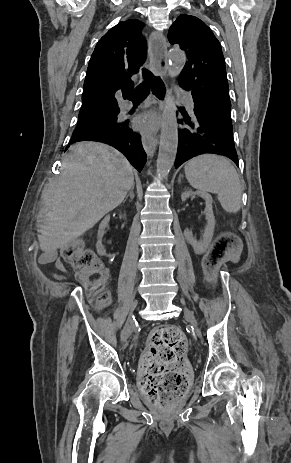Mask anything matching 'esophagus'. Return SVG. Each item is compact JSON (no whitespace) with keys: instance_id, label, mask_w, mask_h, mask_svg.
Returning <instances> with one entry per match:
<instances>
[{"instance_id":"esophagus-1","label":"esophagus","mask_w":291,"mask_h":463,"mask_svg":"<svg viewBox=\"0 0 291 463\" xmlns=\"http://www.w3.org/2000/svg\"><path fill=\"white\" fill-rule=\"evenodd\" d=\"M149 49L152 69L161 77H164L168 65L165 37L162 34L153 31L149 38ZM142 144L147 155L153 156L158 144L157 134H142Z\"/></svg>"}]
</instances>
